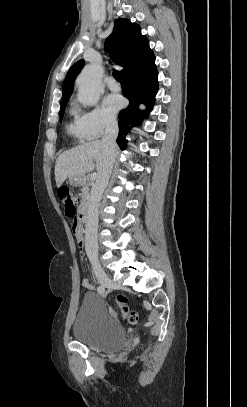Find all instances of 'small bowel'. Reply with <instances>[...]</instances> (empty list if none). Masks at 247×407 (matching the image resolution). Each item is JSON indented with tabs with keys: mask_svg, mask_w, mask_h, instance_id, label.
<instances>
[{
	"mask_svg": "<svg viewBox=\"0 0 247 407\" xmlns=\"http://www.w3.org/2000/svg\"><path fill=\"white\" fill-rule=\"evenodd\" d=\"M73 232L75 234L78 246L80 248H82L84 246L83 235H82L81 228L77 224L74 225ZM82 284H83L84 288H86L88 290L93 289V286L91 285V283L89 282L88 279H83Z\"/></svg>",
	"mask_w": 247,
	"mask_h": 407,
	"instance_id": "small-bowel-1",
	"label": "small bowel"
}]
</instances>
